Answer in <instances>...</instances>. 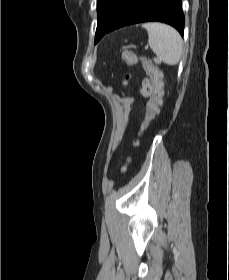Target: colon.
Wrapping results in <instances>:
<instances>
[{
  "label": "colon",
  "instance_id": "colon-1",
  "mask_svg": "<svg viewBox=\"0 0 229 280\" xmlns=\"http://www.w3.org/2000/svg\"><path fill=\"white\" fill-rule=\"evenodd\" d=\"M122 58L128 65H134L139 62H145L143 58L138 56L133 51H124L122 53ZM148 72L150 75V80L145 79L143 81V90L145 96L149 97L147 102V114L141 125L139 134L134 140V145L137 147L141 144L142 139L149 129L151 123L157 118L160 114L161 107L163 104V82L160 71L152 64L148 65ZM130 164V159L123 167V172H127Z\"/></svg>",
  "mask_w": 229,
  "mask_h": 280
}]
</instances>
